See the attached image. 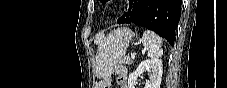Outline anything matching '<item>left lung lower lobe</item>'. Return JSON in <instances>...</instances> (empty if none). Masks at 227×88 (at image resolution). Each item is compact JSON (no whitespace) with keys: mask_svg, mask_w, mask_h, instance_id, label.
I'll return each instance as SVG.
<instances>
[{"mask_svg":"<svg viewBox=\"0 0 227 88\" xmlns=\"http://www.w3.org/2000/svg\"><path fill=\"white\" fill-rule=\"evenodd\" d=\"M128 13L117 23H135L153 30L174 45L175 29L181 16L182 0H129Z\"/></svg>","mask_w":227,"mask_h":88,"instance_id":"obj_1","label":"left lung lower lobe"}]
</instances>
